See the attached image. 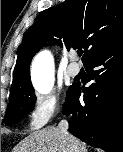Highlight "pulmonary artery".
Segmentation results:
<instances>
[{
  "instance_id": "1",
  "label": "pulmonary artery",
  "mask_w": 123,
  "mask_h": 152,
  "mask_svg": "<svg viewBox=\"0 0 123 152\" xmlns=\"http://www.w3.org/2000/svg\"><path fill=\"white\" fill-rule=\"evenodd\" d=\"M75 56H72V61L69 64L68 68H67V73L71 76V77H76L79 72H80V67L79 65L74 61Z\"/></svg>"
}]
</instances>
